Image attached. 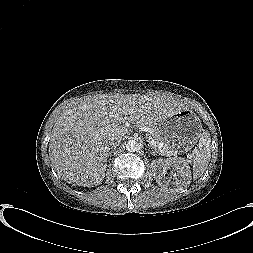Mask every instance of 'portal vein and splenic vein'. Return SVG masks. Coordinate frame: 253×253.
Wrapping results in <instances>:
<instances>
[{
    "label": "portal vein and splenic vein",
    "instance_id": "1",
    "mask_svg": "<svg viewBox=\"0 0 253 253\" xmlns=\"http://www.w3.org/2000/svg\"><path fill=\"white\" fill-rule=\"evenodd\" d=\"M125 125L128 126V123H126ZM145 131H149V130L146 129ZM147 139H148V142L150 143V145L154 148H157V147L160 148L162 146L161 144L157 145L151 136H148ZM188 157L191 158L192 155L188 154Z\"/></svg>",
    "mask_w": 253,
    "mask_h": 253
}]
</instances>
